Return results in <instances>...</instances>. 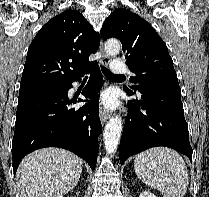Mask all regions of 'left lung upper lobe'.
<instances>
[{
  "mask_svg": "<svg viewBox=\"0 0 209 197\" xmlns=\"http://www.w3.org/2000/svg\"><path fill=\"white\" fill-rule=\"evenodd\" d=\"M100 34L104 40L115 37L121 41L127 66L136 74L130 78L134 89L179 87L166 44L140 16L127 9H116L105 20Z\"/></svg>",
  "mask_w": 209,
  "mask_h": 197,
  "instance_id": "left-lung-upper-lobe-1",
  "label": "left lung upper lobe"
}]
</instances>
